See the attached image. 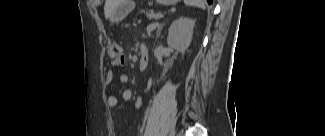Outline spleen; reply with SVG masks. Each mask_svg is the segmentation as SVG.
<instances>
[{
    "mask_svg": "<svg viewBox=\"0 0 325 136\" xmlns=\"http://www.w3.org/2000/svg\"><path fill=\"white\" fill-rule=\"evenodd\" d=\"M184 2L188 6H194L205 9V2L203 0H185Z\"/></svg>",
    "mask_w": 325,
    "mask_h": 136,
    "instance_id": "1",
    "label": "spleen"
}]
</instances>
